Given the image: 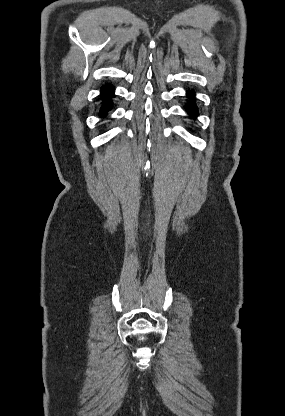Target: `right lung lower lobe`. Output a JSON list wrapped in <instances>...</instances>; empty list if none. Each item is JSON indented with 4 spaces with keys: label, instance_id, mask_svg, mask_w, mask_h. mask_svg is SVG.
<instances>
[{
    "label": "right lung lower lobe",
    "instance_id": "1",
    "mask_svg": "<svg viewBox=\"0 0 285 416\" xmlns=\"http://www.w3.org/2000/svg\"><path fill=\"white\" fill-rule=\"evenodd\" d=\"M113 93L114 88L109 84H106L101 88V99L103 101V105L100 110V113L103 116L106 115V113L112 109L111 98L113 96Z\"/></svg>",
    "mask_w": 285,
    "mask_h": 416
}]
</instances>
